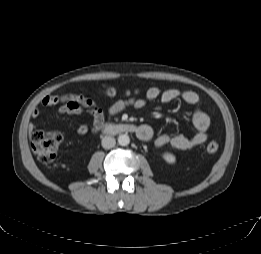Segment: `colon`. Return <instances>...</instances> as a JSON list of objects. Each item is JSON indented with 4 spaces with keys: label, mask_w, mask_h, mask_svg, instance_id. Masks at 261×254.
Masks as SVG:
<instances>
[{
    "label": "colon",
    "mask_w": 261,
    "mask_h": 254,
    "mask_svg": "<svg viewBox=\"0 0 261 254\" xmlns=\"http://www.w3.org/2000/svg\"><path fill=\"white\" fill-rule=\"evenodd\" d=\"M107 96H115L117 91L115 88L108 87L102 90ZM132 92L126 90L125 94L130 95ZM63 141V135L59 131H41L36 130L31 134V147L38 158L48 167L56 168V156L58 149ZM218 144L210 142L207 145V152L214 154L218 151Z\"/></svg>",
    "instance_id": "obj_1"
}]
</instances>
